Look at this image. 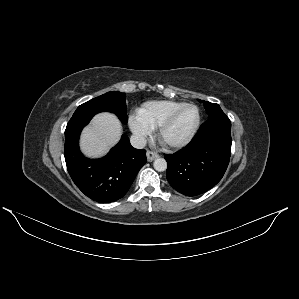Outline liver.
I'll list each match as a JSON object with an SVG mask.
<instances>
[{
	"mask_svg": "<svg viewBox=\"0 0 299 299\" xmlns=\"http://www.w3.org/2000/svg\"><path fill=\"white\" fill-rule=\"evenodd\" d=\"M121 133V123L114 114H97L82 131L81 150L88 157H100L119 141Z\"/></svg>",
	"mask_w": 299,
	"mask_h": 299,
	"instance_id": "1",
	"label": "liver"
}]
</instances>
